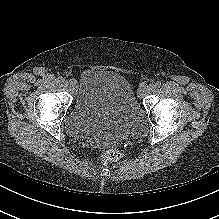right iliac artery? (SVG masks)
I'll return each mask as SVG.
<instances>
[{
    "instance_id": "right-iliac-artery-1",
    "label": "right iliac artery",
    "mask_w": 219,
    "mask_h": 219,
    "mask_svg": "<svg viewBox=\"0 0 219 219\" xmlns=\"http://www.w3.org/2000/svg\"><path fill=\"white\" fill-rule=\"evenodd\" d=\"M58 80H59L60 82H65V78H63L62 76H60V77L58 78Z\"/></svg>"
}]
</instances>
